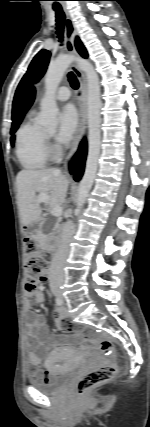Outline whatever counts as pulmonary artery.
<instances>
[{
    "label": "pulmonary artery",
    "mask_w": 150,
    "mask_h": 427,
    "mask_svg": "<svg viewBox=\"0 0 150 427\" xmlns=\"http://www.w3.org/2000/svg\"><path fill=\"white\" fill-rule=\"evenodd\" d=\"M55 98L58 101H66L70 98V90L68 87L66 86H62L60 87L56 94H55Z\"/></svg>",
    "instance_id": "e3ab8cb5"
}]
</instances>
